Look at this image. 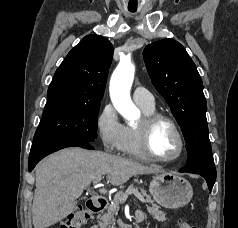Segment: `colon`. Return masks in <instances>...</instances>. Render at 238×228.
I'll use <instances>...</instances> for the list:
<instances>
[{"label":"colon","mask_w":238,"mask_h":228,"mask_svg":"<svg viewBox=\"0 0 238 228\" xmlns=\"http://www.w3.org/2000/svg\"><path fill=\"white\" fill-rule=\"evenodd\" d=\"M90 212L82 207H77L73 212L62 221L57 228H81L89 219ZM178 228H199L190 224L187 221L180 220Z\"/></svg>","instance_id":"1"}]
</instances>
